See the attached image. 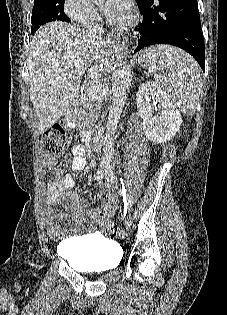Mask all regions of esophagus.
<instances>
[{
	"mask_svg": "<svg viewBox=\"0 0 227 315\" xmlns=\"http://www.w3.org/2000/svg\"><path fill=\"white\" fill-rule=\"evenodd\" d=\"M111 40L114 42V43H117L118 45H120V38L118 35H111Z\"/></svg>",
	"mask_w": 227,
	"mask_h": 315,
	"instance_id": "obj_1",
	"label": "esophagus"
}]
</instances>
